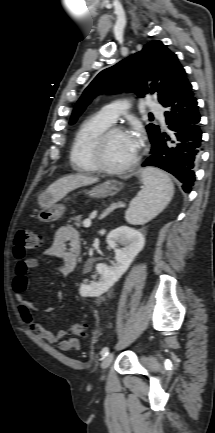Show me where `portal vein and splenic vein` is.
Returning <instances> with one entry per match:
<instances>
[{
  "label": "portal vein and splenic vein",
  "instance_id": "1",
  "mask_svg": "<svg viewBox=\"0 0 215 433\" xmlns=\"http://www.w3.org/2000/svg\"><path fill=\"white\" fill-rule=\"evenodd\" d=\"M83 225L86 228L90 227L91 226V219L90 218L85 219L83 222Z\"/></svg>",
  "mask_w": 215,
  "mask_h": 433
}]
</instances>
